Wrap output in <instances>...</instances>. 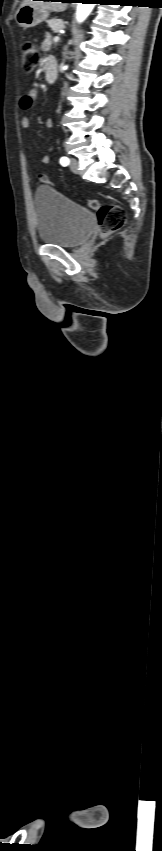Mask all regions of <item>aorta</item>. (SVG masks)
Returning a JSON list of instances; mask_svg holds the SVG:
<instances>
[{
	"mask_svg": "<svg viewBox=\"0 0 162 851\" xmlns=\"http://www.w3.org/2000/svg\"><path fill=\"white\" fill-rule=\"evenodd\" d=\"M94 4L78 3L76 11V19L78 22H83L93 10Z\"/></svg>",
	"mask_w": 162,
	"mask_h": 851,
	"instance_id": "762f6f07",
	"label": "aorta"
}]
</instances>
